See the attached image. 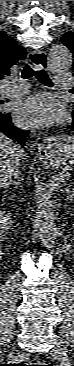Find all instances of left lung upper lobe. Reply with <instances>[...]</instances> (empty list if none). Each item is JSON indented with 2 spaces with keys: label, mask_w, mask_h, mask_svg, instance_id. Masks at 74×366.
Masks as SVG:
<instances>
[{
  "label": "left lung upper lobe",
  "mask_w": 74,
  "mask_h": 366,
  "mask_svg": "<svg viewBox=\"0 0 74 366\" xmlns=\"http://www.w3.org/2000/svg\"><path fill=\"white\" fill-rule=\"evenodd\" d=\"M60 41L71 51L74 58V32L68 31L61 37ZM72 66L74 68V62ZM71 93L74 94V88L71 90Z\"/></svg>",
  "instance_id": "1"
}]
</instances>
